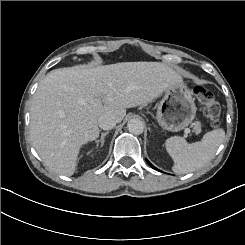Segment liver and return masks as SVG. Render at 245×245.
I'll return each mask as SVG.
<instances>
[{"mask_svg": "<svg viewBox=\"0 0 245 245\" xmlns=\"http://www.w3.org/2000/svg\"><path fill=\"white\" fill-rule=\"evenodd\" d=\"M182 77L160 62H122L51 71L31 105L30 135L44 164L71 176L83 144L98 138V119L111 114L120 123L126 108L146 105Z\"/></svg>", "mask_w": 245, "mask_h": 245, "instance_id": "1", "label": "liver"}]
</instances>
